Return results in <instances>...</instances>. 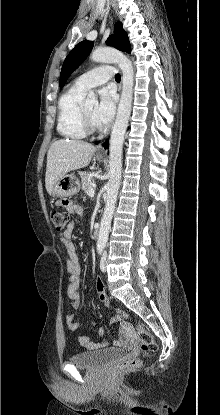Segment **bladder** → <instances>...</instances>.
Listing matches in <instances>:
<instances>
[{"mask_svg": "<svg viewBox=\"0 0 220 415\" xmlns=\"http://www.w3.org/2000/svg\"><path fill=\"white\" fill-rule=\"evenodd\" d=\"M124 354L125 350L122 348H111L100 351H81L71 356L70 362L79 368H93L120 359Z\"/></svg>", "mask_w": 220, "mask_h": 415, "instance_id": "1", "label": "bladder"}]
</instances>
